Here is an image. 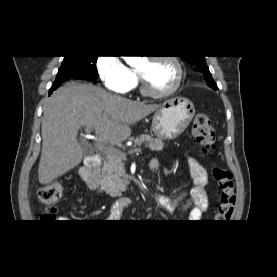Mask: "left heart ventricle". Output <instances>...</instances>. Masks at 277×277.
<instances>
[{
	"label": "left heart ventricle",
	"mask_w": 277,
	"mask_h": 277,
	"mask_svg": "<svg viewBox=\"0 0 277 277\" xmlns=\"http://www.w3.org/2000/svg\"><path fill=\"white\" fill-rule=\"evenodd\" d=\"M147 87L154 92L167 90L174 82L175 69L167 61H143L138 69Z\"/></svg>",
	"instance_id": "left-heart-ventricle-1"
}]
</instances>
